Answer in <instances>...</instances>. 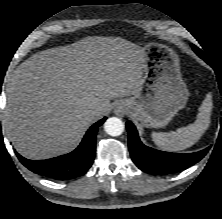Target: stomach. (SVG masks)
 Returning a JSON list of instances; mask_svg holds the SVG:
<instances>
[{
	"label": "stomach",
	"instance_id": "obj_1",
	"mask_svg": "<svg viewBox=\"0 0 222 219\" xmlns=\"http://www.w3.org/2000/svg\"><path fill=\"white\" fill-rule=\"evenodd\" d=\"M142 50L140 89L118 105L144 126L161 128L184 108L189 92L181 77L179 57L172 48L149 43Z\"/></svg>",
	"mask_w": 222,
	"mask_h": 219
}]
</instances>
